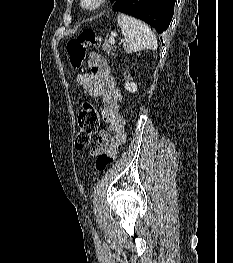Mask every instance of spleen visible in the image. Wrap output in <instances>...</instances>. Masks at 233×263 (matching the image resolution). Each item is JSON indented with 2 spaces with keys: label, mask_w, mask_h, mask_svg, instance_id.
Here are the masks:
<instances>
[{
  "label": "spleen",
  "mask_w": 233,
  "mask_h": 263,
  "mask_svg": "<svg viewBox=\"0 0 233 263\" xmlns=\"http://www.w3.org/2000/svg\"><path fill=\"white\" fill-rule=\"evenodd\" d=\"M117 20L125 37L123 48L127 53L157 49L156 37L148 25L125 14H119Z\"/></svg>",
  "instance_id": "spleen-1"
}]
</instances>
